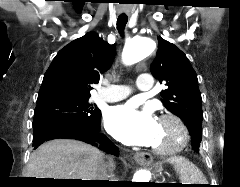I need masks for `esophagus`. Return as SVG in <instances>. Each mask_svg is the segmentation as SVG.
Returning <instances> with one entry per match:
<instances>
[{"label":"esophagus","mask_w":240,"mask_h":187,"mask_svg":"<svg viewBox=\"0 0 240 187\" xmlns=\"http://www.w3.org/2000/svg\"><path fill=\"white\" fill-rule=\"evenodd\" d=\"M133 158L139 164H150L153 161V157L149 153L136 152Z\"/></svg>","instance_id":"1"}]
</instances>
